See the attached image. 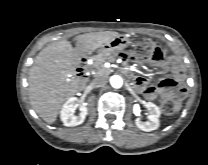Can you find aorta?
Here are the masks:
<instances>
[{
  "label": "aorta",
  "instance_id": "1",
  "mask_svg": "<svg viewBox=\"0 0 208 165\" xmlns=\"http://www.w3.org/2000/svg\"><path fill=\"white\" fill-rule=\"evenodd\" d=\"M110 84L112 87L114 88H121L122 85H123V80L120 76L118 75H113L111 78H110Z\"/></svg>",
  "mask_w": 208,
  "mask_h": 165
}]
</instances>
